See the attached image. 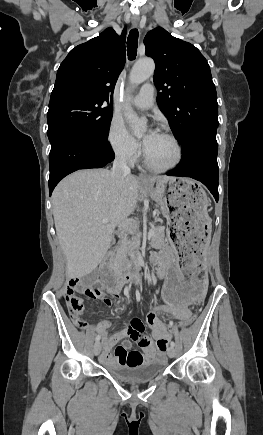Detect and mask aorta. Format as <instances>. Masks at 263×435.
Listing matches in <instances>:
<instances>
[{"label": "aorta", "mask_w": 263, "mask_h": 435, "mask_svg": "<svg viewBox=\"0 0 263 435\" xmlns=\"http://www.w3.org/2000/svg\"><path fill=\"white\" fill-rule=\"evenodd\" d=\"M155 70L154 61L150 58L142 59L135 63L130 73V81L132 84H140L151 77ZM125 116L129 123L131 124L134 133L136 135L142 134L145 131V122L138 120V118L133 114L130 106H125ZM131 259L135 261V254L132 251Z\"/></svg>", "instance_id": "1"}]
</instances>
